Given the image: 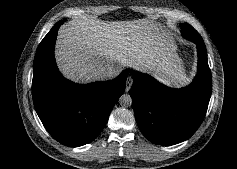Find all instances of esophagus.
<instances>
[{
  "mask_svg": "<svg viewBox=\"0 0 237 169\" xmlns=\"http://www.w3.org/2000/svg\"><path fill=\"white\" fill-rule=\"evenodd\" d=\"M132 83H133V79L131 77H128L127 78V86H126L127 92L130 90Z\"/></svg>",
  "mask_w": 237,
  "mask_h": 169,
  "instance_id": "esophagus-1",
  "label": "esophagus"
}]
</instances>
